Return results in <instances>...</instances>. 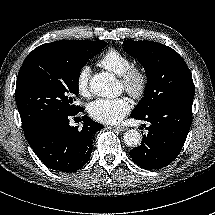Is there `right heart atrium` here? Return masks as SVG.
I'll return each mask as SVG.
<instances>
[{
    "label": "right heart atrium",
    "mask_w": 215,
    "mask_h": 215,
    "mask_svg": "<svg viewBox=\"0 0 215 215\" xmlns=\"http://www.w3.org/2000/svg\"><path fill=\"white\" fill-rule=\"evenodd\" d=\"M91 70L88 66H83L79 69L76 75V91L81 96H87L89 94V80Z\"/></svg>",
    "instance_id": "right-heart-atrium-1"
}]
</instances>
